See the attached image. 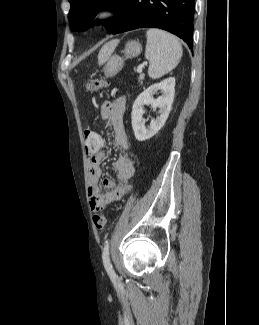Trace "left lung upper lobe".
<instances>
[{
  "instance_id": "5c2ea615",
  "label": "left lung upper lobe",
  "mask_w": 259,
  "mask_h": 325,
  "mask_svg": "<svg viewBox=\"0 0 259 325\" xmlns=\"http://www.w3.org/2000/svg\"><path fill=\"white\" fill-rule=\"evenodd\" d=\"M71 8L68 20L75 31L86 30L93 24L91 20L102 8H112L117 16L113 20H106L105 26L111 32L125 10L127 0H69Z\"/></svg>"
}]
</instances>
